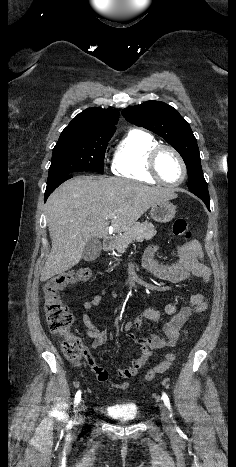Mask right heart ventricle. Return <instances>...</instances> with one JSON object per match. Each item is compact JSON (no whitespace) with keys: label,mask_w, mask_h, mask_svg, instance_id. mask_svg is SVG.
<instances>
[{"label":"right heart ventricle","mask_w":236,"mask_h":467,"mask_svg":"<svg viewBox=\"0 0 236 467\" xmlns=\"http://www.w3.org/2000/svg\"><path fill=\"white\" fill-rule=\"evenodd\" d=\"M158 145V140L152 134L141 129L129 130L116 147L112 172L144 183H157L148 171V156Z\"/></svg>","instance_id":"obj_1"}]
</instances>
